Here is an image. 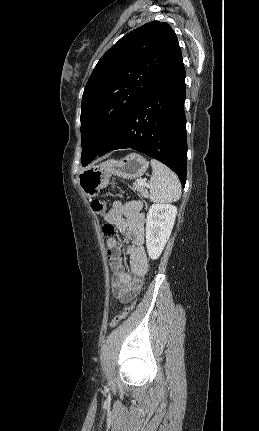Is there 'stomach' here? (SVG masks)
Masks as SVG:
<instances>
[{
  "label": "stomach",
  "instance_id": "1",
  "mask_svg": "<svg viewBox=\"0 0 259 431\" xmlns=\"http://www.w3.org/2000/svg\"><path fill=\"white\" fill-rule=\"evenodd\" d=\"M149 163L138 153H130L121 160H108L98 166L82 170L78 184L88 197H95L106 187L112 175L133 180L141 177Z\"/></svg>",
  "mask_w": 259,
  "mask_h": 431
}]
</instances>
